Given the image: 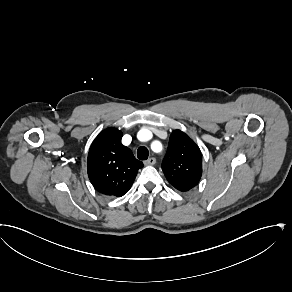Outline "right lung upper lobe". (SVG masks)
<instances>
[{"label": "right lung upper lobe", "instance_id": "obj_1", "mask_svg": "<svg viewBox=\"0 0 292 292\" xmlns=\"http://www.w3.org/2000/svg\"><path fill=\"white\" fill-rule=\"evenodd\" d=\"M123 134L109 127L93 141L87 158L88 177L101 194L121 197L131 188L143 167L132 151L122 145Z\"/></svg>", "mask_w": 292, "mask_h": 292}]
</instances>
